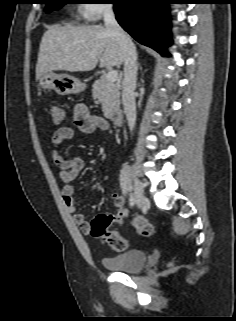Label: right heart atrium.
Listing matches in <instances>:
<instances>
[{
    "mask_svg": "<svg viewBox=\"0 0 236 321\" xmlns=\"http://www.w3.org/2000/svg\"><path fill=\"white\" fill-rule=\"evenodd\" d=\"M112 8L107 0H86L81 6L80 14L87 21H98L103 15L112 11Z\"/></svg>",
    "mask_w": 236,
    "mask_h": 321,
    "instance_id": "right-heart-atrium-1",
    "label": "right heart atrium"
}]
</instances>
